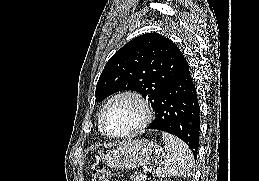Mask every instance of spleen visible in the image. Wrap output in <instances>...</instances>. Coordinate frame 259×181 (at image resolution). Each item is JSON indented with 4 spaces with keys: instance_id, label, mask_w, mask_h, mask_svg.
<instances>
[{
    "instance_id": "3e777b00",
    "label": "spleen",
    "mask_w": 259,
    "mask_h": 181,
    "mask_svg": "<svg viewBox=\"0 0 259 181\" xmlns=\"http://www.w3.org/2000/svg\"><path fill=\"white\" fill-rule=\"evenodd\" d=\"M165 150L155 174L162 177L186 178L192 174L194 158L190 148L179 138L162 132Z\"/></svg>"
}]
</instances>
